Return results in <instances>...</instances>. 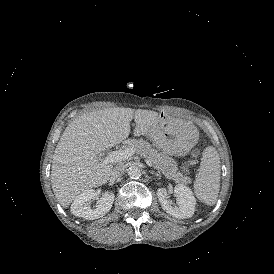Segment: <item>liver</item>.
<instances>
[{
	"instance_id": "6515ba94",
	"label": "liver",
	"mask_w": 274,
	"mask_h": 274,
	"mask_svg": "<svg viewBox=\"0 0 274 274\" xmlns=\"http://www.w3.org/2000/svg\"><path fill=\"white\" fill-rule=\"evenodd\" d=\"M132 119L133 136L140 137L155 129L160 115L152 110L109 107L82 113L68 124L51 167L52 190L63 208L67 209L77 195L107 183L113 165L102 163L99 153L128 138ZM184 123L193 125L191 121Z\"/></svg>"
}]
</instances>
